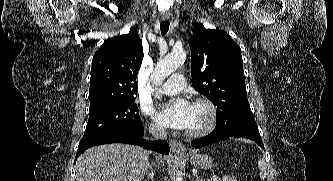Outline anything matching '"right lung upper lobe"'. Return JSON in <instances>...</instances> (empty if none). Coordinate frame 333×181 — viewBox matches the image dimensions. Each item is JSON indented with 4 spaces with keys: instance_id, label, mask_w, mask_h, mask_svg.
<instances>
[{
    "instance_id": "cb5924a9",
    "label": "right lung upper lobe",
    "mask_w": 333,
    "mask_h": 181,
    "mask_svg": "<svg viewBox=\"0 0 333 181\" xmlns=\"http://www.w3.org/2000/svg\"><path fill=\"white\" fill-rule=\"evenodd\" d=\"M143 60L142 41L135 30L113 37L96 51L91 67L90 108L134 98Z\"/></svg>"
}]
</instances>
